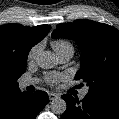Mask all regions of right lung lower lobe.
<instances>
[{
	"label": "right lung lower lobe",
	"mask_w": 119,
	"mask_h": 119,
	"mask_svg": "<svg viewBox=\"0 0 119 119\" xmlns=\"http://www.w3.org/2000/svg\"><path fill=\"white\" fill-rule=\"evenodd\" d=\"M48 101V94L44 91L22 92L4 108L0 119H35Z\"/></svg>",
	"instance_id": "right-lung-lower-lobe-1"
}]
</instances>
